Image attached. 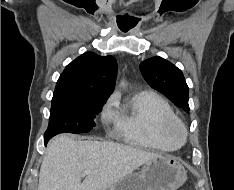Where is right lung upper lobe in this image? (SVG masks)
Segmentation results:
<instances>
[{"instance_id":"cb5924a9","label":"right lung upper lobe","mask_w":234,"mask_h":190,"mask_svg":"<svg viewBox=\"0 0 234 190\" xmlns=\"http://www.w3.org/2000/svg\"><path fill=\"white\" fill-rule=\"evenodd\" d=\"M116 75L117 62L113 56L87 52L66 66L54 92L107 100L113 92Z\"/></svg>"}]
</instances>
